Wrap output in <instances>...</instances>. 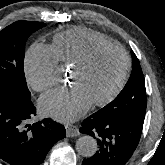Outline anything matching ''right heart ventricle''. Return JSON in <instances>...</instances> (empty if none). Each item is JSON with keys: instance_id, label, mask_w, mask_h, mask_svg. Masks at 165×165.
<instances>
[{"instance_id": "obj_1", "label": "right heart ventricle", "mask_w": 165, "mask_h": 165, "mask_svg": "<svg viewBox=\"0 0 165 165\" xmlns=\"http://www.w3.org/2000/svg\"><path fill=\"white\" fill-rule=\"evenodd\" d=\"M111 43L99 33L76 27L57 34L53 39L52 49L58 61L67 66H74L93 47Z\"/></svg>"}]
</instances>
